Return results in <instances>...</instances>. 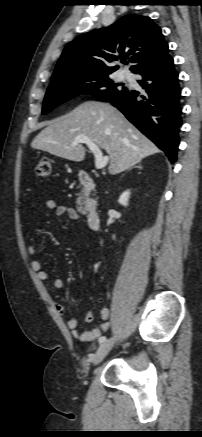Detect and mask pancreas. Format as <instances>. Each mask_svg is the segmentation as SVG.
<instances>
[{
    "label": "pancreas",
    "instance_id": "obj_1",
    "mask_svg": "<svg viewBox=\"0 0 202 437\" xmlns=\"http://www.w3.org/2000/svg\"><path fill=\"white\" fill-rule=\"evenodd\" d=\"M76 203H77V206H78V209L80 210V212L85 214L86 210L83 208V205L86 203V198H85L83 192H81V194L79 195Z\"/></svg>",
    "mask_w": 202,
    "mask_h": 437
}]
</instances>
